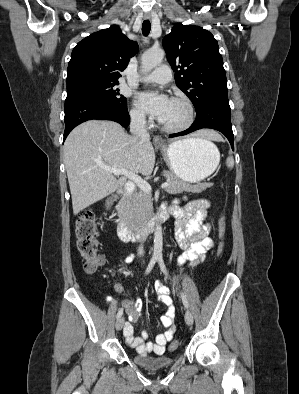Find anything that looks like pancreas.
<instances>
[{"instance_id": "1", "label": "pancreas", "mask_w": 299, "mask_h": 394, "mask_svg": "<svg viewBox=\"0 0 299 394\" xmlns=\"http://www.w3.org/2000/svg\"><path fill=\"white\" fill-rule=\"evenodd\" d=\"M163 175L166 177L167 182H169V186L166 188V192L169 194H180L183 192L200 193L213 185L212 183L190 185L176 177L173 173L164 172ZM152 208V197L150 193L139 191L130 196L127 213L136 221V224L133 225L134 228L140 226L151 215Z\"/></svg>"}]
</instances>
